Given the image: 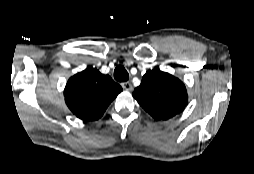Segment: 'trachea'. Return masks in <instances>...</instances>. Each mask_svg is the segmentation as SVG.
I'll list each match as a JSON object with an SVG mask.
<instances>
[{
    "mask_svg": "<svg viewBox=\"0 0 254 174\" xmlns=\"http://www.w3.org/2000/svg\"><path fill=\"white\" fill-rule=\"evenodd\" d=\"M114 78L119 82H126L129 79V74L123 66H117L114 70Z\"/></svg>",
    "mask_w": 254,
    "mask_h": 174,
    "instance_id": "trachea-1",
    "label": "trachea"
}]
</instances>
